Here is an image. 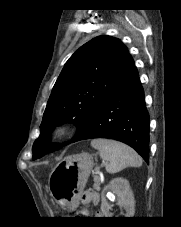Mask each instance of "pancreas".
<instances>
[{
  "instance_id": "cf45deb5",
  "label": "pancreas",
  "mask_w": 181,
  "mask_h": 227,
  "mask_svg": "<svg viewBox=\"0 0 181 227\" xmlns=\"http://www.w3.org/2000/svg\"><path fill=\"white\" fill-rule=\"evenodd\" d=\"M93 188L97 191L100 190V179L98 176H95L94 177V185H93Z\"/></svg>"
}]
</instances>
